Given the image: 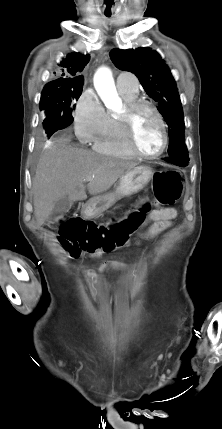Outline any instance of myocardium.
Listing matches in <instances>:
<instances>
[{
    "label": "myocardium",
    "mask_w": 222,
    "mask_h": 429,
    "mask_svg": "<svg viewBox=\"0 0 222 429\" xmlns=\"http://www.w3.org/2000/svg\"><path fill=\"white\" fill-rule=\"evenodd\" d=\"M143 109H147L155 115L162 131V139H163L162 146L160 150L154 154H146L142 152L138 148L135 141V135H134L135 118L137 114ZM118 117L122 126L125 143L129 148V150L135 156L142 159L152 160V159H157L164 154L169 143L167 125L159 110L152 103L143 99H135V100L126 102L124 111Z\"/></svg>",
    "instance_id": "obj_1"
}]
</instances>
